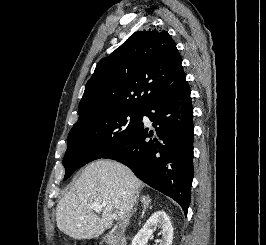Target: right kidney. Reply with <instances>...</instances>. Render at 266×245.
<instances>
[{
    "label": "right kidney",
    "instance_id": "right-kidney-1",
    "mask_svg": "<svg viewBox=\"0 0 266 245\" xmlns=\"http://www.w3.org/2000/svg\"><path fill=\"white\" fill-rule=\"evenodd\" d=\"M155 227L161 229L160 233L162 239L161 241H158L159 245H172L173 227L165 211H156V213H153V215L149 217L141 231L135 235L132 245H146L148 239L152 237Z\"/></svg>",
    "mask_w": 266,
    "mask_h": 245
}]
</instances>
